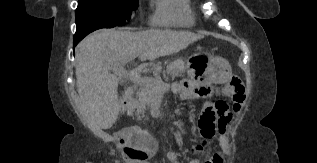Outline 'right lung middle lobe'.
I'll list each match as a JSON object with an SVG mask.
<instances>
[{
    "label": "right lung middle lobe",
    "instance_id": "right-lung-middle-lobe-1",
    "mask_svg": "<svg viewBox=\"0 0 317 163\" xmlns=\"http://www.w3.org/2000/svg\"><path fill=\"white\" fill-rule=\"evenodd\" d=\"M137 8L138 0H79L74 40L100 28L125 25Z\"/></svg>",
    "mask_w": 317,
    "mask_h": 163
}]
</instances>
